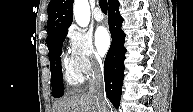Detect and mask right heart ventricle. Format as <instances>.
Masks as SVG:
<instances>
[{
	"mask_svg": "<svg viewBox=\"0 0 193 112\" xmlns=\"http://www.w3.org/2000/svg\"><path fill=\"white\" fill-rule=\"evenodd\" d=\"M63 78L67 85L78 86L83 81V76L76 69L71 58L64 56L62 59Z\"/></svg>",
	"mask_w": 193,
	"mask_h": 112,
	"instance_id": "right-heart-ventricle-1",
	"label": "right heart ventricle"
}]
</instances>
